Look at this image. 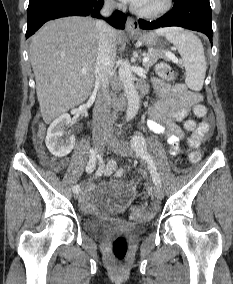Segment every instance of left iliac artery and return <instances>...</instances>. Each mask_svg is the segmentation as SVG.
I'll use <instances>...</instances> for the list:
<instances>
[{
  "label": "left iliac artery",
  "instance_id": "1",
  "mask_svg": "<svg viewBox=\"0 0 233 284\" xmlns=\"http://www.w3.org/2000/svg\"><path fill=\"white\" fill-rule=\"evenodd\" d=\"M131 145L135 152L142 157L149 166L153 182L156 186H161V179L157 173L155 163L153 162L152 157L149 155L146 149V143L142 136H133L131 139Z\"/></svg>",
  "mask_w": 233,
  "mask_h": 284
}]
</instances>
